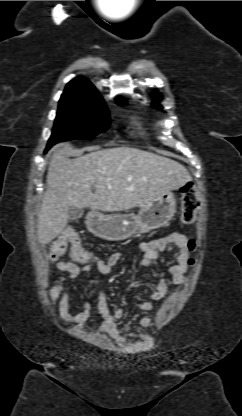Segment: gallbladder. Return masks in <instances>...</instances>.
Segmentation results:
<instances>
[{"mask_svg": "<svg viewBox=\"0 0 242 416\" xmlns=\"http://www.w3.org/2000/svg\"><path fill=\"white\" fill-rule=\"evenodd\" d=\"M83 215V209L74 207V206H70L68 208V217L70 220H78L79 218H81Z\"/></svg>", "mask_w": 242, "mask_h": 416, "instance_id": "obj_1", "label": "gallbladder"}]
</instances>
